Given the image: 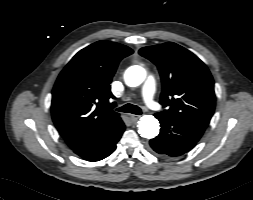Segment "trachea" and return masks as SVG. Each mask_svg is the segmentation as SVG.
Listing matches in <instances>:
<instances>
[{"label":"trachea","instance_id":"obj_1","mask_svg":"<svg viewBox=\"0 0 253 200\" xmlns=\"http://www.w3.org/2000/svg\"><path fill=\"white\" fill-rule=\"evenodd\" d=\"M117 111L125 112V113H132V114H136V115H141L142 114V111L138 106L133 105V104H129V103L125 104L122 107H119L117 109Z\"/></svg>","mask_w":253,"mask_h":200}]
</instances>
